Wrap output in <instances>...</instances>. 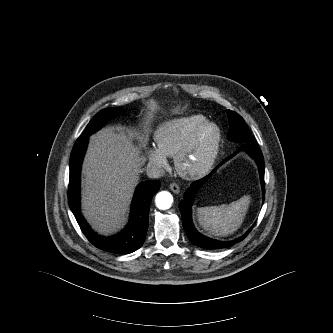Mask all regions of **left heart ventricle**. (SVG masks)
Here are the masks:
<instances>
[{"instance_id":"left-heart-ventricle-1","label":"left heart ventricle","mask_w":333,"mask_h":333,"mask_svg":"<svg viewBox=\"0 0 333 333\" xmlns=\"http://www.w3.org/2000/svg\"><path fill=\"white\" fill-rule=\"evenodd\" d=\"M214 137V130L208 129L203 136L201 137V140L196 148V150L193 152L191 162L197 163L207 152L209 146L211 145V142Z\"/></svg>"}]
</instances>
